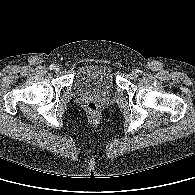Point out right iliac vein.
Instances as JSON below:
<instances>
[{
    "instance_id": "obj_1",
    "label": "right iliac vein",
    "mask_w": 195,
    "mask_h": 195,
    "mask_svg": "<svg viewBox=\"0 0 195 195\" xmlns=\"http://www.w3.org/2000/svg\"><path fill=\"white\" fill-rule=\"evenodd\" d=\"M54 70H55V72H59V70H60L59 66H56V67L54 68Z\"/></svg>"
}]
</instances>
